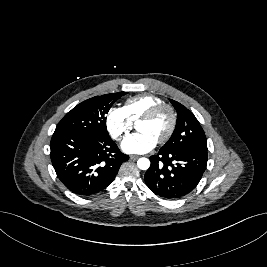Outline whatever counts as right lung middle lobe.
Returning a JSON list of instances; mask_svg holds the SVG:
<instances>
[{
  "instance_id": "dd1d6c3e",
  "label": "right lung middle lobe",
  "mask_w": 267,
  "mask_h": 267,
  "mask_svg": "<svg viewBox=\"0 0 267 267\" xmlns=\"http://www.w3.org/2000/svg\"><path fill=\"white\" fill-rule=\"evenodd\" d=\"M127 92L90 98L75 106L58 123L54 133L107 136L106 114L111 106Z\"/></svg>"
}]
</instances>
